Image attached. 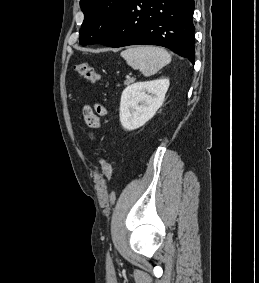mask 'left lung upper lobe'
<instances>
[{
  "mask_svg": "<svg viewBox=\"0 0 259 283\" xmlns=\"http://www.w3.org/2000/svg\"><path fill=\"white\" fill-rule=\"evenodd\" d=\"M130 0H80L84 21L80 29V44H96L116 27Z\"/></svg>",
  "mask_w": 259,
  "mask_h": 283,
  "instance_id": "5c2ea615",
  "label": "left lung upper lobe"
}]
</instances>
